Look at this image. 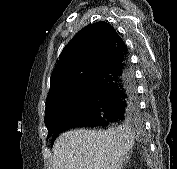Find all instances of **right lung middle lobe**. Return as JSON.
<instances>
[{"instance_id":"obj_1","label":"right lung middle lobe","mask_w":177,"mask_h":169,"mask_svg":"<svg viewBox=\"0 0 177 169\" xmlns=\"http://www.w3.org/2000/svg\"><path fill=\"white\" fill-rule=\"evenodd\" d=\"M93 93L94 85L90 81L76 89L66 99L47 106L44 119L48 129L47 139L52 137L63 122L84 110L89 105Z\"/></svg>"}]
</instances>
